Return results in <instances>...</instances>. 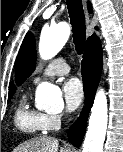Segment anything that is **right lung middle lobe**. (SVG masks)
Returning <instances> with one entry per match:
<instances>
[{"label":"right lung middle lobe","mask_w":123,"mask_h":152,"mask_svg":"<svg viewBox=\"0 0 123 152\" xmlns=\"http://www.w3.org/2000/svg\"><path fill=\"white\" fill-rule=\"evenodd\" d=\"M12 95H13V94H10V95L8 96V101H10V99L12 98Z\"/></svg>","instance_id":"dd1d6c3e"}]
</instances>
